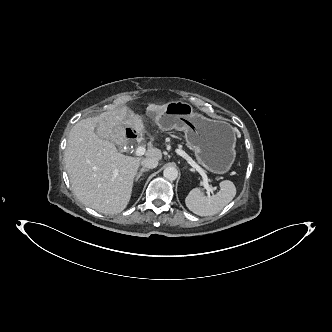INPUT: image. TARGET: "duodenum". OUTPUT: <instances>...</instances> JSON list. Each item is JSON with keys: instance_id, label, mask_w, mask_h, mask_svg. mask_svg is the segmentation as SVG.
I'll return each instance as SVG.
<instances>
[{"instance_id": "duodenum-1", "label": "duodenum", "mask_w": 332, "mask_h": 332, "mask_svg": "<svg viewBox=\"0 0 332 332\" xmlns=\"http://www.w3.org/2000/svg\"><path fill=\"white\" fill-rule=\"evenodd\" d=\"M124 137L129 140V141H132V140H135L136 137H137V133L134 129L132 128H126L125 132H124Z\"/></svg>"}]
</instances>
